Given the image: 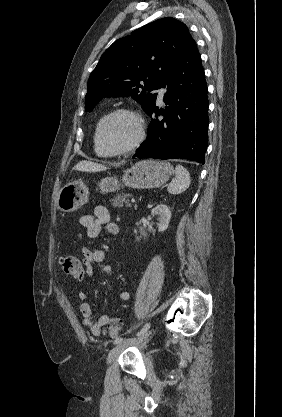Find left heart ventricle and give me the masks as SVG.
I'll return each mask as SVG.
<instances>
[{
  "label": "left heart ventricle",
  "instance_id": "left-heart-ventricle-1",
  "mask_svg": "<svg viewBox=\"0 0 282 417\" xmlns=\"http://www.w3.org/2000/svg\"><path fill=\"white\" fill-rule=\"evenodd\" d=\"M137 134V126L133 119L120 116L115 118L107 130V142L112 147L130 143Z\"/></svg>",
  "mask_w": 282,
  "mask_h": 417
}]
</instances>
